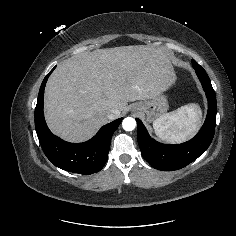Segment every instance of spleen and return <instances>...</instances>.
Returning <instances> with one entry per match:
<instances>
[{
	"instance_id": "3e777b00",
	"label": "spleen",
	"mask_w": 236,
	"mask_h": 236,
	"mask_svg": "<svg viewBox=\"0 0 236 236\" xmlns=\"http://www.w3.org/2000/svg\"><path fill=\"white\" fill-rule=\"evenodd\" d=\"M201 122V110L197 104H187L164 114L153 122L155 134L163 141L181 143L190 138Z\"/></svg>"
}]
</instances>
